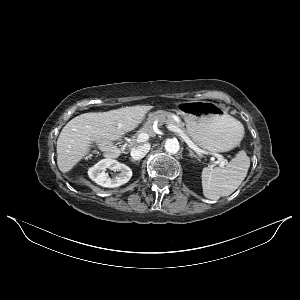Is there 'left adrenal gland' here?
Here are the masks:
<instances>
[{
    "instance_id": "left-adrenal-gland-1",
    "label": "left adrenal gland",
    "mask_w": 300,
    "mask_h": 300,
    "mask_svg": "<svg viewBox=\"0 0 300 300\" xmlns=\"http://www.w3.org/2000/svg\"><path fill=\"white\" fill-rule=\"evenodd\" d=\"M186 149L189 151V155L191 157H194L200 161L199 157L197 155H195L194 152L190 148L187 147Z\"/></svg>"
}]
</instances>
